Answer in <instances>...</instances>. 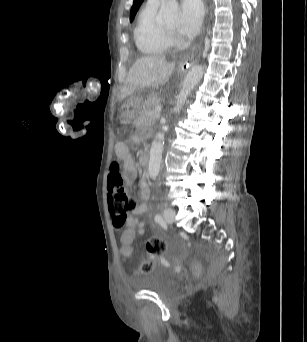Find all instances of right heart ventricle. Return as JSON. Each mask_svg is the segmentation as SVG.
I'll use <instances>...</instances> for the list:
<instances>
[{"label":"right heart ventricle","instance_id":"e07e8e85","mask_svg":"<svg viewBox=\"0 0 307 342\" xmlns=\"http://www.w3.org/2000/svg\"><path fill=\"white\" fill-rule=\"evenodd\" d=\"M156 11L143 10L140 12L133 33L137 52L145 58L155 57L165 52L159 42Z\"/></svg>","mask_w":307,"mask_h":342}]
</instances>
